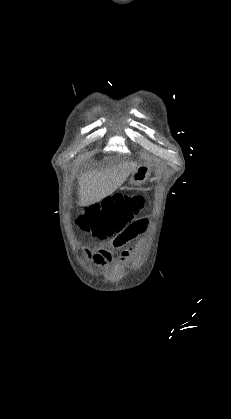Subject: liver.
<instances>
[{"label":"liver","mask_w":231,"mask_h":419,"mask_svg":"<svg viewBox=\"0 0 231 419\" xmlns=\"http://www.w3.org/2000/svg\"><path fill=\"white\" fill-rule=\"evenodd\" d=\"M138 166L137 162L126 161L82 175L79 180V204L89 206L111 195Z\"/></svg>","instance_id":"liver-1"}]
</instances>
